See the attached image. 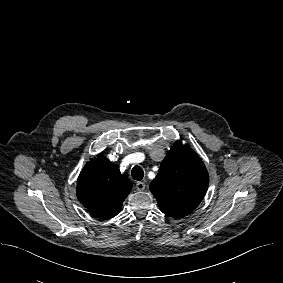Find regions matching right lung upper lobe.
<instances>
[{"instance_id": "cb5924a9", "label": "right lung upper lobe", "mask_w": 283, "mask_h": 283, "mask_svg": "<svg viewBox=\"0 0 283 283\" xmlns=\"http://www.w3.org/2000/svg\"><path fill=\"white\" fill-rule=\"evenodd\" d=\"M131 189L130 180L99 153L80 173L76 193L78 200L94 217L110 219L119 213Z\"/></svg>"}]
</instances>
